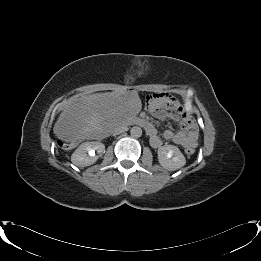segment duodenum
I'll list each match as a JSON object with an SVG mask.
<instances>
[{
    "label": "duodenum",
    "instance_id": "obj_1",
    "mask_svg": "<svg viewBox=\"0 0 261 261\" xmlns=\"http://www.w3.org/2000/svg\"><path fill=\"white\" fill-rule=\"evenodd\" d=\"M136 123L139 124V125H141V126L146 127L148 122H147L144 118H138V119L136 120ZM147 132H148V131H147Z\"/></svg>",
    "mask_w": 261,
    "mask_h": 261
}]
</instances>
